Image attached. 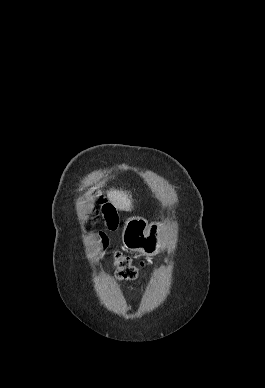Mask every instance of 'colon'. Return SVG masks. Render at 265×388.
Returning a JSON list of instances; mask_svg holds the SVG:
<instances>
[{
	"instance_id": "colon-1",
	"label": "colon",
	"mask_w": 265,
	"mask_h": 388,
	"mask_svg": "<svg viewBox=\"0 0 265 388\" xmlns=\"http://www.w3.org/2000/svg\"><path fill=\"white\" fill-rule=\"evenodd\" d=\"M100 209L99 213L103 216L108 229L114 230L118 224V216L115 208L108 203L103 197L99 198ZM102 244L106 245V237L100 233ZM114 269L119 280L131 281L137 276V269L132 263V260L120 252L114 254Z\"/></svg>"
}]
</instances>
